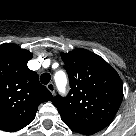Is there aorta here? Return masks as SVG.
<instances>
[{
  "mask_svg": "<svg viewBox=\"0 0 136 136\" xmlns=\"http://www.w3.org/2000/svg\"><path fill=\"white\" fill-rule=\"evenodd\" d=\"M55 82H56V85H57L58 89L60 91H64L65 87H66V84H67V76H66L65 72L58 71L55 74Z\"/></svg>",
  "mask_w": 136,
  "mask_h": 136,
  "instance_id": "obj_1",
  "label": "aorta"
}]
</instances>
